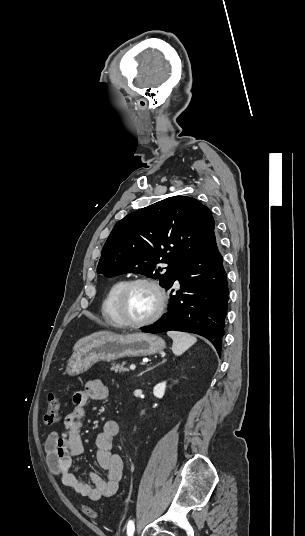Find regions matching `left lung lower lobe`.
<instances>
[{
	"label": "left lung lower lobe",
	"mask_w": 305,
	"mask_h": 536,
	"mask_svg": "<svg viewBox=\"0 0 305 536\" xmlns=\"http://www.w3.org/2000/svg\"><path fill=\"white\" fill-rule=\"evenodd\" d=\"M226 276L223 257L213 233L204 246L181 265L166 286L171 288L175 280L181 285L179 291L170 294L168 312L142 331L195 333L207 338L220 355L229 294Z\"/></svg>",
	"instance_id": "0a47b994"
}]
</instances>
